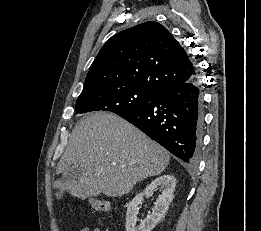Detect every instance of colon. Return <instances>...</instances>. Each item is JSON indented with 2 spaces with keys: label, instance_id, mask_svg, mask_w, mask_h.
I'll return each mask as SVG.
<instances>
[{
  "label": "colon",
  "instance_id": "5ec220e1",
  "mask_svg": "<svg viewBox=\"0 0 261 231\" xmlns=\"http://www.w3.org/2000/svg\"><path fill=\"white\" fill-rule=\"evenodd\" d=\"M89 204L92 209L103 213H109L112 211V205L107 201L89 200Z\"/></svg>",
  "mask_w": 261,
  "mask_h": 231
}]
</instances>
